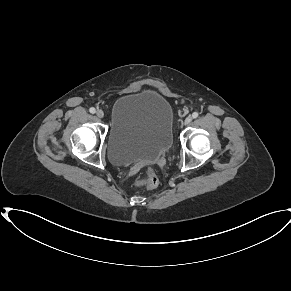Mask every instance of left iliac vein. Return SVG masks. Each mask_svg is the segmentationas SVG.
Masks as SVG:
<instances>
[{
  "label": "left iliac vein",
  "instance_id": "left-iliac-vein-1",
  "mask_svg": "<svg viewBox=\"0 0 291 291\" xmlns=\"http://www.w3.org/2000/svg\"><path fill=\"white\" fill-rule=\"evenodd\" d=\"M191 121H192V117H191V116H188V117H186V119H185V121H184V124H185V125H188V124L191 123Z\"/></svg>",
  "mask_w": 291,
  "mask_h": 291
}]
</instances>
